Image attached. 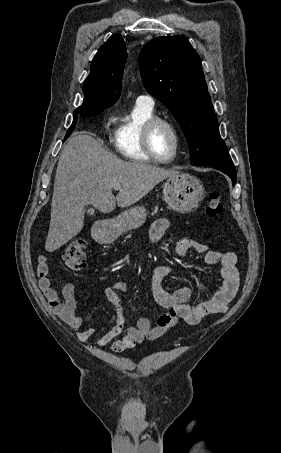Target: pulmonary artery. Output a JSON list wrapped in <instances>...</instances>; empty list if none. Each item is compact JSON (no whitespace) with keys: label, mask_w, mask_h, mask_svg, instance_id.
Here are the masks:
<instances>
[{"label":"pulmonary artery","mask_w":281,"mask_h":453,"mask_svg":"<svg viewBox=\"0 0 281 453\" xmlns=\"http://www.w3.org/2000/svg\"><path fill=\"white\" fill-rule=\"evenodd\" d=\"M139 100H150L148 96H139Z\"/></svg>","instance_id":"e3ab8cb5"}]
</instances>
